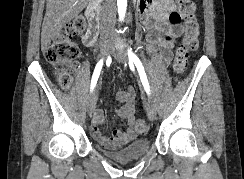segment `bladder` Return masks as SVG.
<instances>
[{"label": "bladder", "instance_id": "1", "mask_svg": "<svg viewBox=\"0 0 244 179\" xmlns=\"http://www.w3.org/2000/svg\"><path fill=\"white\" fill-rule=\"evenodd\" d=\"M149 149V138L138 139L116 151H107L101 148L104 155L117 160H129L142 157L149 151Z\"/></svg>", "mask_w": 244, "mask_h": 179}]
</instances>
